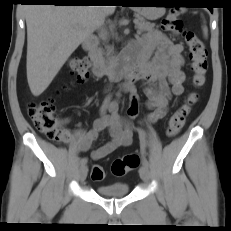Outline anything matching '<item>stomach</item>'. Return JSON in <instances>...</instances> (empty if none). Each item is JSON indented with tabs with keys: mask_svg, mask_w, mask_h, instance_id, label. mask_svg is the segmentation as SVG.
<instances>
[{
	"mask_svg": "<svg viewBox=\"0 0 231 231\" xmlns=\"http://www.w3.org/2000/svg\"><path fill=\"white\" fill-rule=\"evenodd\" d=\"M135 10L146 19H156L164 14V7H135Z\"/></svg>",
	"mask_w": 231,
	"mask_h": 231,
	"instance_id": "obj_1",
	"label": "stomach"
}]
</instances>
